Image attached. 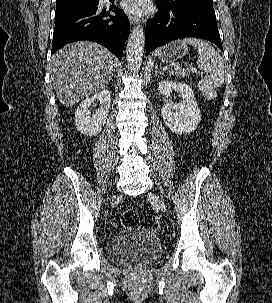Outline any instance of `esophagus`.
I'll return each instance as SVG.
<instances>
[{
    "mask_svg": "<svg viewBox=\"0 0 272 303\" xmlns=\"http://www.w3.org/2000/svg\"><path fill=\"white\" fill-rule=\"evenodd\" d=\"M128 18L131 24H137L141 21L140 17L134 15H129Z\"/></svg>",
    "mask_w": 272,
    "mask_h": 303,
    "instance_id": "obj_1",
    "label": "esophagus"
}]
</instances>
